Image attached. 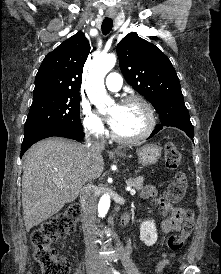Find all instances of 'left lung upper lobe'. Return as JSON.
Wrapping results in <instances>:
<instances>
[{
  "label": "left lung upper lobe",
  "mask_w": 221,
  "mask_h": 274,
  "mask_svg": "<svg viewBox=\"0 0 221 274\" xmlns=\"http://www.w3.org/2000/svg\"><path fill=\"white\" fill-rule=\"evenodd\" d=\"M120 69L127 82L160 114L184 105L179 78L158 47L130 33L117 45Z\"/></svg>",
  "instance_id": "1"
}]
</instances>
